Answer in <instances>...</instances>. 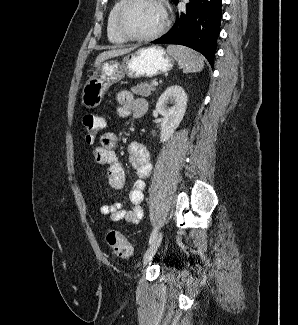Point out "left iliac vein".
Returning a JSON list of instances; mask_svg holds the SVG:
<instances>
[{
    "label": "left iliac vein",
    "mask_w": 298,
    "mask_h": 325,
    "mask_svg": "<svg viewBox=\"0 0 298 325\" xmlns=\"http://www.w3.org/2000/svg\"><path fill=\"white\" fill-rule=\"evenodd\" d=\"M162 237L163 234L162 232H160L159 234H157L156 238L154 239V241L151 243V245L149 246V248L146 250L144 257H143V265H147L148 263L151 262V260L153 259L155 253L157 252L161 241H162Z\"/></svg>",
    "instance_id": "4c4485c4"
}]
</instances>
